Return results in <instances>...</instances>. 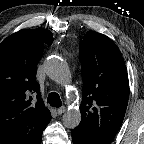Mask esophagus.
I'll return each instance as SVG.
<instances>
[{
  "label": "esophagus",
  "instance_id": "1",
  "mask_svg": "<svg viewBox=\"0 0 144 144\" xmlns=\"http://www.w3.org/2000/svg\"><path fill=\"white\" fill-rule=\"evenodd\" d=\"M65 111H66V108L64 106H62V107H60V108L57 109V113L59 115L63 114Z\"/></svg>",
  "mask_w": 144,
  "mask_h": 144
}]
</instances>
